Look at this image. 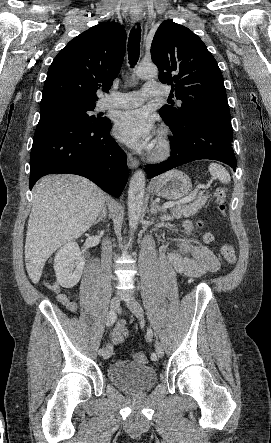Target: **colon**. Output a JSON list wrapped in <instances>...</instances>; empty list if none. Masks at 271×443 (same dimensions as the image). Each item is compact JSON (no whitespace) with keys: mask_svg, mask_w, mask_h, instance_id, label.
<instances>
[{"mask_svg":"<svg viewBox=\"0 0 271 443\" xmlns=\"http://www.w3.org/2000/svg\"><path fill=\"white\" fill-rule=\"evenodd\" d=\"M215 201L217 204V208L220 211V213L222 215L225 214V203L227 200V192L225 188H218L215 190ZM206 240L208 242L212 241V236L211 235H207L206 236ZM221 255L224 258V260L228 263V264H235L236 263V254H235V250L234 248L230 245V244H224L221 247ZM134 359L135 361L139 362V363H146L148 361V357L146 354L138 352L134 354Z\"/></svg>","mask_w":271,"mask_h":443,"instance_id":"1","label":"colon"}]
</instances>
